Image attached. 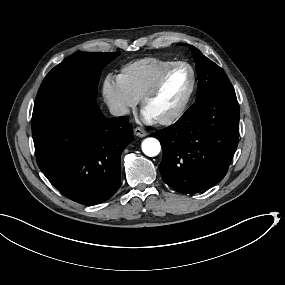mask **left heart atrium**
<instances>
[{"mask_svg":"<svg viewBox=\"0 0 285 285\" xmlns=\"http://www.w3.org/2000/svg\"><path fill=\"white\" fill-rule=\"evenodd\" d=\"M140 116H141L142 120H144L145 122H149V123L155 122L157 119L154 115L147 112L146 110H142L140 113Z\"/></svg>","mask_w":285,"mask_h":285,"instance_id":"39dd6f15","label":"left heart atrium"}]
</instances>
